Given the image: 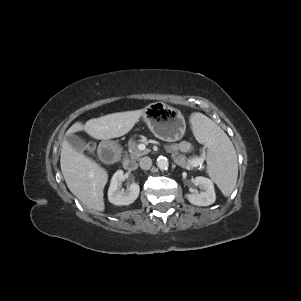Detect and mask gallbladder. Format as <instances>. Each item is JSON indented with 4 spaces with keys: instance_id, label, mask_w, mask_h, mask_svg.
Instances as JSON below:
<instances>
[{
    "instance_id": "obj_1",
    "label": "gallbladder",
    "mask_w": 301,
    "mask_h": 301,
    "mask_svg": "<svg viewBox=\"0 0 301 301\" xmlns=\"http://www.w3.org/2000/svg\"><path fill=\"white\" fill-rule=\"evenodd\" d=\"M64 138L75 151L83 153L86 150V143L79 136L68 134Z\"/></svg>"
}]
</instances>
